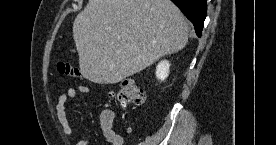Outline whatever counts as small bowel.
Here are the masks:
<instances>
[{"mask_svg": "<svg viewBox=\"0 0 276 145\" xmlns=\"http://www.w3.org/2000/svg\"><path fill=\"white\" fill-rule=\"evenodd\" d=\"M89 92V88L86 85H80L77 88L68 87L58 96L57 103L55 105L56 116L60 123L64 134L70 135L73 129V122L69 119L66 111V104L69 99L75 98L79 94H86ZM100 129L111 145H123V138L114 130V115L111 111H103L100 115ZM77 145H90V141L83 139L78 141Z\"/></svg>", "mask_w": 276, "mask_h": 145, "instance_id": "1", "label": "small bowel"}]
</instances>
